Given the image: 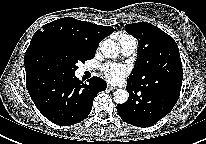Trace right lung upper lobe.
Segmentation results:
<instances>
[{
  "mask_svg": "<svg viewBox=\"0 0 206 144\" xmlns=\"http://www.w3.org/2000/svg\"><path fill=\"white\" fill-rule=\"evenodd\" d=\"M112 32L114 29L110 26L95 25L65 17L45 24L41 30H37L28 48L50 41L95 54L102 39Z\"/></svg>",
  "mask_w": 206,
  "mask_h": 144,
  "instance_id": "obj_1",
  "label": "right lung upper lobe"
}]
</instances>
